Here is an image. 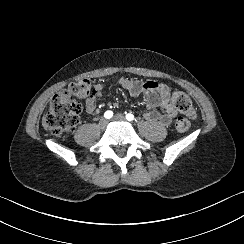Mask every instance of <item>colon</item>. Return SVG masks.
Returning <instances> with one entry per match:
<instances>
[{
  "label": "colon",
  "instance_id": "obj_1",
  "mask_svg": "<svg viewBox=\"0 0 244 244\" xmlns=\"http://www.w3.org/2000/svg\"><path fill=\"white\" fill-rule=\"evenodd\" d=\"M91 89L92 81L81 78L71 82L53 98L45 122L55 135H64L78 126L82 112L79 99L89 96ZM172 102L182 112L175 122V129L183 133L196 117L195 108L190 97L181 91L173 93Z\"/></svg>",
  "mask_w": 244,
  "mask_h": 244
}]
</instances>
